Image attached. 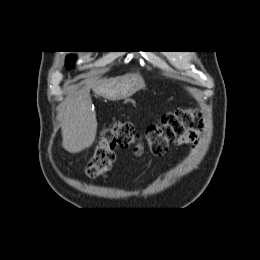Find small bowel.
<instances>
[{
    "mask_svg": "<svg viewBox=\"0 0 260 260\" xmlns=\"http://www.w3.org/2000/svg\"><path fill=\"white\" fill-rule=\"evenodd\" d=\"M201 132V125L199 128H191L189 129L181 138H179L176 142L177 145L189 144L192 146H196L198 143Z\"/></svg>",
    "mask_w": 260,
    "mask_h": 260,
    "instance_id": "c3829d8e",
    "label": "small bowel"
}]
</instances>
